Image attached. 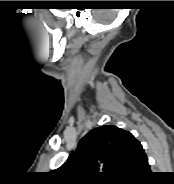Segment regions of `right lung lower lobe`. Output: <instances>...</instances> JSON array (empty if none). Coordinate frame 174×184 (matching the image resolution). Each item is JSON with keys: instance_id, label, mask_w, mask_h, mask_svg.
I'll return each mask as SVG.
<instances>
[{"instance_id": "right-lung-lower-lobe-1", "label": "right lung lower lobe", "mask_w": 174, "mask_h": 184, "mask_svg": "<svg viewBox=\"0 0 174 184\" xmlns=\"http://www.w3.org/2000/svg\"><path fill=\"white\" fill-rule=\"evenodd\" d=\"M150 175V166L146 158L140 163L136 170L128 176V178L118 182V184H146Z\"/></svg>"}]
</instances>
